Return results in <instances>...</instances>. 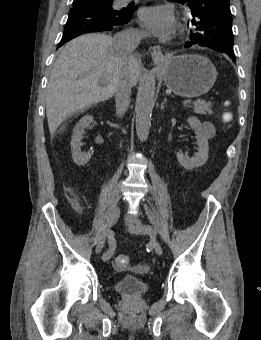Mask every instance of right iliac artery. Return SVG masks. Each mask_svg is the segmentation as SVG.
<instances>
[{"instance_id": "1", "label": "right iliac artery", "mask_w": 261, "mask_h": 340, "mask_svg": "<svg viewBox=\"0 0 261 340\" xmlns=\"http://www.w3.org/2000/svg\"><path fill=\"white\" fill-rule=\"evenodd\" d=\"M108 237V249L103 253L102 259L104 262H108L116 248V239L114 237V233L112 231L106 232Z\"/></svg>"}]
</instances>
